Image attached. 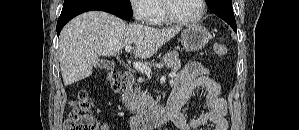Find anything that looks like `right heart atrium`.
Returning a JSON list of instances; mask_svg holds the SVG:
<instances>
[{
	"mask_svg": "<svg viewBox=\"0 0 299 130\" xmlns=\"http://www.w3.org/2000/svg\"><path fill=\"white\" fill-rule=\"evenodd\" d=\"M154 0H132L131 8L134 17L140 22H150L153 17L152 5Z\"/></svg>",
	"mask_w": 299,
	"mask_h": 130,
	"instance_id": "1",
	"label": "right heart atrium"
}]
</instances>
